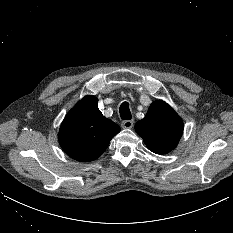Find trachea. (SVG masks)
<instances>
[{
	"mask_svg": "<svg viewBox=\"0 0 233 233\" xmlns=\"http://www.w3.org/2000/svg\"><path fill=\"white\" fill-rule=\"evenodd\" d=\"M119 112H120V116H121L122 119H124V120H130L131 119V112H130L128 102H123L120 105Z\"/></svg>",
	"mask_w": 233,
	"mask_h": 233,
	"instance_id": "trachea-1",
	"label": "trachea"
}]
</instances>
